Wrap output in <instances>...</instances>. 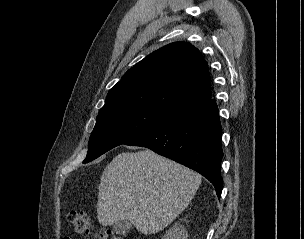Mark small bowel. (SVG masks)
Listing matches in <instances>:
<instances>
[{
  "mask_svg": "<svg viewBox=\"0 0 304 239\" xmlns=\"http://www.w3.org/2000/svg\"><path fill=\"white\" fill-rule=\"evenodd\" d=\"M63 239H72L71 237H64Z\"/></svg>",
  "mask_w": 304,
  "mask_h": 239,
  "instance_id": "1",
  "label": "small bowel"
}]
</instances>
